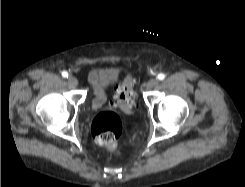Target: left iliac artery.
<instances>
[{"label": "left iliac artery", "instance_id": "1", "mask_svg": "<svg viewBox=\"0 0 245 187\" xmlns=\"http://www.w3.org/2000/svg\"><path fill=\"white\" fill-rule=\"evenodd\" d=\"M157 78L159 80H163L165 78V75L163 73H159L158 76H157Z\"/></svg>", "mask_w": 245, "mask_h": 187}]
</instances>
